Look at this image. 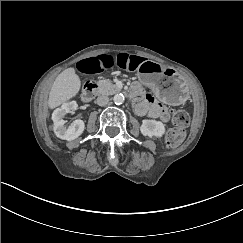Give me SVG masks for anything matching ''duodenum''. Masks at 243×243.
<instances>
[{
  "label": "duodenum",
  "instance_id": "obj_1",
  "mask_svg": "<svg viewBox=\"0 0 243 243\" xmlns=\"http://www.w3.org/2000/svg\"><path fill=\"white\" fill-rule=\"evenodd\" d=\"M96 89H97V84L95 81H88L82 91L81 97L82 100L84 102H89L92 100V98L94 97L95 93H96ZM129 97L131 100L133 101H137L140 99V94L136 91H130L129 92Z\"/></svg>",
  "mask_w": 243,
  "mask_h": 243
}]
</instances>
